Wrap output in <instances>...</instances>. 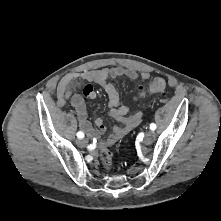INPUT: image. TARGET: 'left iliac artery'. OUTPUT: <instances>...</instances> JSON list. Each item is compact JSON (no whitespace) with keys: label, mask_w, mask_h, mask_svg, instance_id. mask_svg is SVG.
I'll list each match as a JSON object with an SVG mask.
<instances>
[{"label":"left iliac artery","mask_w":221,"mask_h":221,"mask_svg":"<svg viewBox=\"0 0 221 221\" xmlns=\"http://www.w3.org/2000/svg\"><path fill=\"white\" fill-rule=\"evenodd\" d=\"M156 129V124L152 123L150 124V130L154 131Z\"/></svg>","instance_id":"obj_1"}]
</instances>
